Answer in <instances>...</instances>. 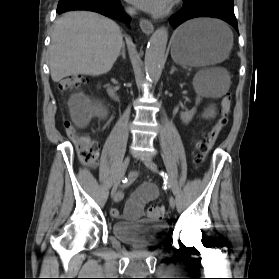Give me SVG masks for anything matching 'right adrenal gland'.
Returning a JSON list of instances; mask_svg holds the SVG:
<instances>
[{"mask_svg": "<svg viewBox=\"0 0 279 279\" xmlns=\"http://www.w3.org/2000/svg\"><path fill=\"white\" fill-rule=\"evenodd\" d=\"M122 56V58L123 59H125L126 58V56H125V44L123 43V45H122V51H121V53L119 54V56Z\"/></svg>", "mask_w": 279, "mask_h": 279, "instance_id": "obj_1", "label": "right adrenal gland"}]
</instances>
